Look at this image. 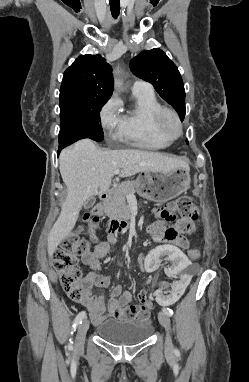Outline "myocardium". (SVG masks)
Here are the masks:
<instances>
[{
	"mask_svg": "<svg viewBox=\"0 0 249 382\" xmlns=\"http://www.w3.org/2000/svg\"><path fill=\"white\" fill-rule=\"evenodd\" d=\"M158 128L168 138L174 140L183 134V122L178 113L171 109L163 107L156 117ZM174 122L175 126L172 128L170 122Z\"/></svg>",
	"mask_w": 249,
	"mask_h": 382,
	"instance_id": "myocardium-1",
	"label": "myocardium"
}]
</instances>
